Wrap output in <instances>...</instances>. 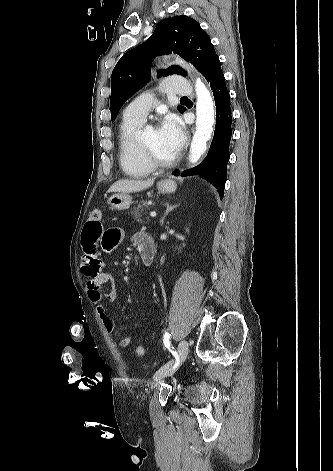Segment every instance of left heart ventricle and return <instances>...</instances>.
<instances>
[{"label":"left heart ventricle","instance_id":"1","mask_svg":"<svg viewBox=\"0 0 333 471\" xmlns=\"http://www.w3.org/2000/svg\"><path fill=\"white\" fill-rule=\"evenodd\" d=\"M146 146L158 158L162 160H170L174 157L168 149L164 146L158 129L148 131L142 138Z\"/></svg>","mask_w":333,"mask_h":471}]
</instances>
